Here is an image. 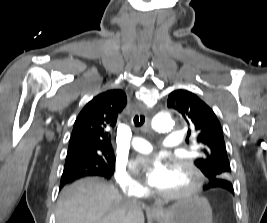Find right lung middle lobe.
<instances>
[{
    "label": "right lung middle lobe",
    "instance_id": "dd1d6c3e",
    "mask_svg": "<svg viewBox=\"0 0 267 223\" xmlns=\"http://www.w3.org/2000/svg\"><path fill=\"white\" fill-rule=\"evenodd\" d=\"M114 154H91L79 158H67L64 172L82 171L88 174H97L103 177H110L114 172Z\"/></svg>",
    "mask_w": 267,
    "mask_h": 223
}]
</instances>
